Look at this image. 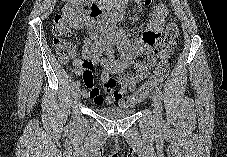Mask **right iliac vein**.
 I'll list each match as a JSON object with an SVG mask.
<instances>
[{
	"mask_svg": "<svg viewBox=\"0 0 227 157\" xmlns=\"http://www.w3.org/2000/svg\"><path fill=\"white\" fill-rule=\"evenodd\" d=\"M74 96H75V99L76 100H79L80 99V97H81V90H80L79 87L75 88V90H74Z\"/></svg>",
	"mask_w": 227,
	"mask_h": 157,
	"instance_id": "63e3f726",
	"label": "right iliac vein"
}]
</instances>
